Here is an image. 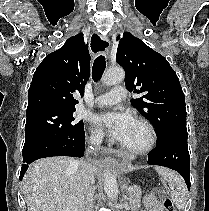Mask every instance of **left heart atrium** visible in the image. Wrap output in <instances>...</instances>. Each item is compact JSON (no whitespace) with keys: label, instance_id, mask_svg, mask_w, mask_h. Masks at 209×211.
<instances>
[{"label":"left heart atrium","instance_id":"39dd6f15","mask_svg":"<svg viewBox=\"0 0 209 211\" xmlns=\"http://www.w3.org/2000/svg\"><path fill=\"white\" fill-rule=\"evenodd\" d=\"M91 120L102 131L121 143L126 139L135 123L134 118L125 112L99 113L93 115Z\"/></svg>","mask_w":209,"mask_h":211}]
</instances>
